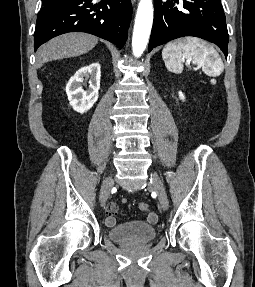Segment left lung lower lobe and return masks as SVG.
Here are the masks:
<instances>
[{"instance_id": "left-lung-lower-lobe-1", "label": "left lung lower lobe", "mask_w": 255, "mask_h": 287, "mask_svg": "<svg viewBox=\"0 0 255 287\" xmlns=\"http://www.w3.org/2000/svg\"><path fill=\"white\" fill-rule=\"evenodd\" d=\"M154 22L148 46L154 47L183 36L215 43L228 55V31L220 0H155Z\"/></svg>"}]
</instances>
